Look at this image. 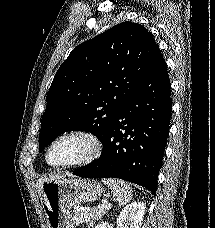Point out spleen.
Here are the masks:
<instances>
[{"label":"spleen","mask_w":215,"mask_h":228,"mask_svg":"<svg viewBox=\"0 0 215 228\" xmlns=\"http://www.w3.org/2000/svg\"><path fill=\"white\" fill-rule=\"evenodd\" d=\"M102 182L111 190L115 200L118 202V206H126L129 200H131L132 188H130L127 182H123V180H114V178H104Z\"/></svg>","instance_id":"1"}]
</instances>
